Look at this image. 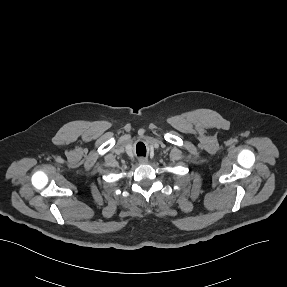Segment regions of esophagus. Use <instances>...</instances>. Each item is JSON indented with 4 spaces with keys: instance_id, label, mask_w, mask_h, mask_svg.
Here are the masks:
<instances>
[{
    "instance_id": "34e87169",
    "label": "esophagus",
    "mask_w": 287,
    "mask_h": 287,
    "mask_svg": "<svg viewBox=\"0 0 287 287\" xmlns=\"http://www.w3.org/2000/svg\"><path fill=\"white\" fill-rule=\"evenodd\" d=\"M139 163H141V164H146V163H148V159L145 158V157H140V158H139Z\"/></svg>"
}]
</instances>
